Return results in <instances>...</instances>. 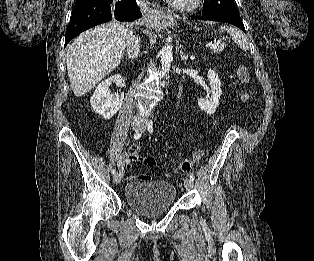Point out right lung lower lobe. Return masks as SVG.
Returning <instances> with one entry per match:
<instances>
[{
    "mask_svg": "<svg viewBox=\"0 0 314 261\" xmlns=\"http://www.w3.org/2000/svg\"><path fill=\"white\" fill-rule=\"evenodd\" d=\"M136 0H83L77 2L67 26L65 46L81 32L116 18L119 21H134L141 17L134 5Z\"/></svg>",
    "mask_w": 314,
    "mask_h": 261,
    "instance_id": "right-lung-lower-lobe-1",
    "label": "right lung lower lobe"
}]
</instances>
